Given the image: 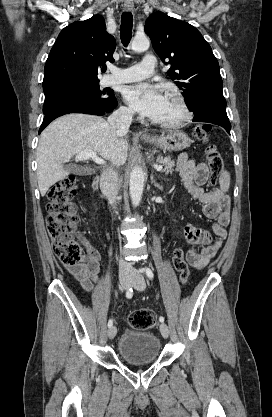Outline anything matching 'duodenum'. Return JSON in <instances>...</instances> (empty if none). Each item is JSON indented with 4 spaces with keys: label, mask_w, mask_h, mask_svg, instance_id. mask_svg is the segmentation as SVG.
I'll return each mask as SVG.
<instances>
[{
    "label": "duodenum",
    "mask_w": 272,
    "mask_h": 417,
    "mask_svg": "<svg viewBox=\"0 0 272 417\" xmlns=\"http://www.w3.org/2000/svg\"><path fill=\"white\" fill-rule=\"evenodd\" d=\"M93 186H94L95 189L98 188V186H99V178L98 177L94 180Z\"/></svg>",
    "instance_id": "obj_1"
}]
</instances>
